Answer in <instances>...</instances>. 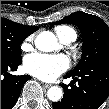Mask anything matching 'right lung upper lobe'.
Returning <instances> with one entry per match:
<instances>
[{
  "label": "right lung upper lobe",
  "instance_id": "cb5924a9",
  "mask_svg": "<svg viewBox=\"0 0 109 109\" xmlns=\"http://www.w3.org/2000/svg\"><path fill=\"white\" fill-rule=\"evenodd\" d=\"M27 27L32 33L39 29V27L37 26H27Z\"/></svg>",
  "mask_w": 109,
  "mask_h": 109
}]
</instances>
